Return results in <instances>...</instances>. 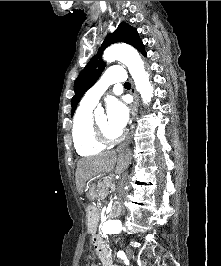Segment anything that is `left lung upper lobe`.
<instances>
[{
  "mask_svg": "<svg viewBox=\"0 0 221 266\" xmlns=\"http://www.w3.org/2000/svg\"><path fill=\"white\" fill-rule=\"evenodd\" d=\"M117 42H124L132 45L136 49L142 52L143 55H146L144 50V45L139 38L136 28L129 26L125 22H121L118 28L113 32L107 35L103 44L98 50V53L88 62L85 68L80 72L74 83V92L75 96L72 98L71 106V116H73L74 111L80 98L84 93L94 85V83L100 77L102 71L105 68V63L102 60V52L109 45Z\"/></svg>",
  "mask_w": 221,
  "mask_h": 266,
  "instance_id": "left-lung-upper-lobe-1",
  "label": "left lung upper lobe"
}]
</instances>
